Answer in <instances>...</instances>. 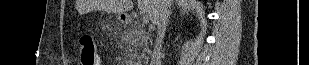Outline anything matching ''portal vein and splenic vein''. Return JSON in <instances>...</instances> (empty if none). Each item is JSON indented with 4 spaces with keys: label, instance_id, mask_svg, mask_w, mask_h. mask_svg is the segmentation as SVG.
Listing matches in <instances>:
<instances>
[{
    "label": "portal vein and splenic vein",
    "instance_id": "portal-vein-and-splenic-vein-1",
    "mask_svg": "<svg viewBox=\"0 0 309 65\" xmlns=\"http://www.w3.org/2000/svg\"><path fill=\"white\" fill-rule=\"evenodd\" d=\"M142 22L143 24H147L149 22V17L142 12Z\"/></svg>",
    "mask_w": 309,
    "mask_h": 65
}]
</instances>
